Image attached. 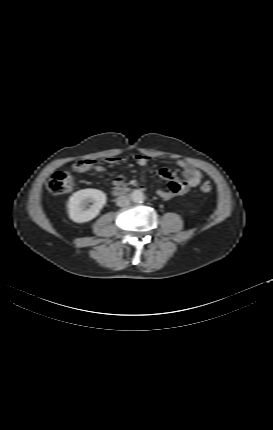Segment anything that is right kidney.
Wrapping results in <instances>:
<instances>
[{"instance_id": "obj_1", "label": "right kidney", "mask_w": 273, "mask_h": 430, "mask_svg": "<svg viewBox=\"0 0 273 430\" xmlns=\"http://www.w3.org/2000/svg\"><path fill=\"white\" fill-rule=\"evenodd\" d=\"M94 202L89 209L84 210L89 203ZM106 204V195L97 189H83L75 192L68 201V214L72 221L84 223L98 216Z\"/></svg>"}]
</instances>
